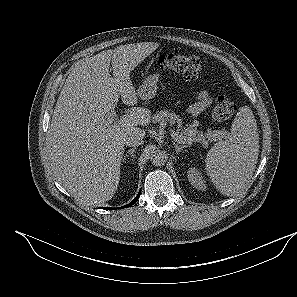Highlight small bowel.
Wrapping results in <instances>:
<instances>
[{
    "label": "small bowel",
    "mask_w": 297,
    "mask_h": 297,
    "mask_svg": "<svg viewBox=\"0 0 297 297\" xmlns=\"http://www.w3.org/2000/svg\"><path fill=\"white\" fill-rule=\"evenodd\" d=\"M212 103V97L207 91H200L196 95V101L190 106L189 113L193 116L200 114Z\"/></svg>",
    "instance_id": "small-bowel-1"
}]
</instances>
